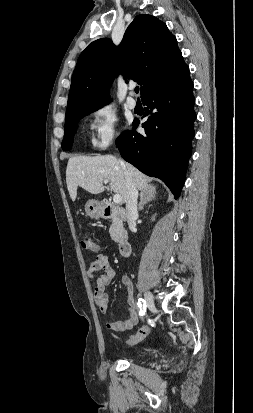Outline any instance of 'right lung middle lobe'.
<instances>
[{
  "mask_svg": "<svg viewBox=\"0 0 253 413\" xmlns=\"http://www.w3.org/2000/svg\"><path fill=\"white\" fill-rule=\"evenodd\" d=\"M95 110H88L85 112H82L80 114H77L68 120L65 121V130H64V139L62 141V149L63 150H69L72 146L73 142V137L74 134L76 133L78 124L77 122L82 119L84 116L88 115L89 113L93 112Z\"/></svg>",
  "mask_w": 253,
  "mask_h": 413,
  "instance_id": "dd1d6c3e",
  "label": "right lung middle lobe"
}]
</instances>
